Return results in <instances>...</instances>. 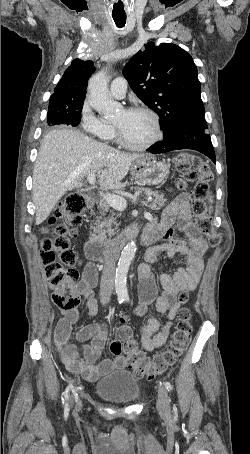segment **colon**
Here are the masks:
<instances>
[{
  "label": "colon",
  "mask_w": 250,
  "mask_h": 454,
  "mask_svg": "<svg viewBox=\"0 0 250 454\" xmlns=\"http://www.w3.org/2000/svg\"><path fill=\"white\" fill-rule=\"evenodd\" d=\"M182 179L178 188L188 182L196 181L193 188V213L197 226L205 233L211 246L221 242V234L212 225L205 199L209 193V183L213 174L210 166L200 157L191 153H180L175 158ZM86 207L85 198L78 193L69 194L57 206L54 215L43 227L47 237L40 248V256L45 274L52 291L53 303L62 311H74L80 299L75 290L79 278V260L71 249L70 242L76 237V227L81 223V214ZM181 303L188 301L187 292L179 295ZM191 312L187 308L180 310L178 323L166 350L152 358H146L138 349L131 328L122 317V324L117 330V339L110 343V351L115 356L125 355L130 368L138 376L154 379L172 366L185 352L191 337Z\"/></svg>",
  "instance_id": "colon-1"
}]
</instances>
